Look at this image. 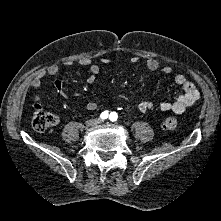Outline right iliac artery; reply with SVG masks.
<instances>
[{
	"instance_id": "82829eb1",
	"label": "right iliac artery",
	"mask_w": 221,
	"mask_h": 221,
	"mask_svg": "<svg viewBox=\"0 0 221 221\" xmlns=\"http://www.w3.org/2000/svg\"><path fill=\"white\" fill-rule=\"evenodd\" d=\"M108 115H109L108 111H104V112L101 113L100 118L102 120H105V119L108 118Z\"/></svg>"
}]
</instances>
